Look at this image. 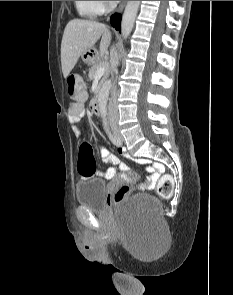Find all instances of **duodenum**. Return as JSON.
Masks as SVG:
<instances>
[{
	"label": "duodenum",
	"mask_w": 233,
	"mask_h": 295,
	"mask_svg": "<svg viewBox=\"0 0 233 295\" xmlns=\"http://www.w3.org/2000/svg\"><path fill=\"white\" fill-rule=\"evenodd\" d=\"M100 95L99 93L91 100V109L95 112V113H99L100 112V99H99Z\"/></svg>",
	"instance_id": "410a0bca"
}]
</instances>
